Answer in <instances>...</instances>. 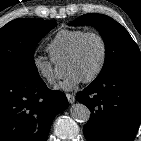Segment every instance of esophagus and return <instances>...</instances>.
Here are the masks:
<instances>
[{
	"label": "esophagus",
	"mask_w": 141,
	"mask_h": 141,
	"mask_svg": "<svg viewBox=\"0 0 141 141\" xmlns=\"http://www.w3.org/2000/svg\"><path fill=\"white\" fill-rule=\"evenodd\" d=\"M66 97H67V100L70 104L74 103L75 102V96L73 94H69L67 93L66 94Z\"/></svg>",
	"instance_id": "esophagus-1"
}]
</instances>
